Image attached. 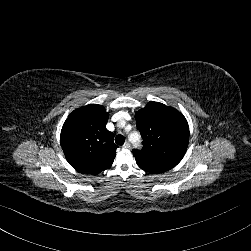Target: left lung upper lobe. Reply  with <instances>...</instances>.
Returning a JSON list of instances; mask_svg holds the SVG:
<instances>
[{
	"instance_id": "1",
	"label": "left lung upper lobe",
	"mask_w": 251,
	"mask_h": 251,
	"mask_svg": "<svg viewBox=\"0 0 251 251\" xmlns=\"http://www.w3.org/2000/svg\"><path fill=\"white\" fill-rule=\"evenodd\" d=\"M143 148L133 150L136 161L167 170L184 157L189 141L187 120L178 110L151 101L135 113Z\"/></svg>"
}]
</instances>
